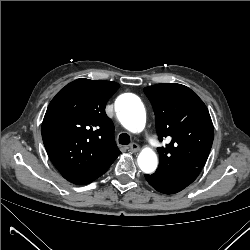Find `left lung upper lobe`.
I'll list each match as a JSON object with an SVG mask.
<instances>
[{
	"label": "left lung upper lobe",
	"mask_w": 250,
	"mask_h": 250,
	"mask_svg": "<svg viewBox=\"0 0 250 250\" xmlns=\"http://www.w3.org/2000/svg\"><path fill=\"white\" fill-rule=\"evenodd\" d=\"M155 113L159 140L170 142L159 147L158 169H201L213 142V124L203 101L188 87L157 84L146 87Z\"/></svg>",
	"instance_id": "obj_1"
}]
</instances>
